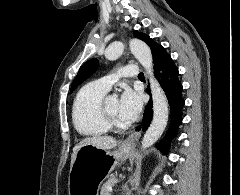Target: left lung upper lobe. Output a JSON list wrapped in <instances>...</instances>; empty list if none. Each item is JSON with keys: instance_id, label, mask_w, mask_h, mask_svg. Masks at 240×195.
Wrapping results in <instances>:
<instances>
[{"instance_id": "1", "label": "left lung upper lobe", "mask_w": 240, "mask_h": 195, "mask_svg": "<svg viewBox=\"0 0 240 195\" xmlns=\"http://www.w3.org/2000/svg\"><path fill=\"white\" fill-rule=\"evenodd\" d=\"M134 35L148 44L152 52L154 65L169 55L162 45L157 44L148 35L137 31L134 32ZM98 65L99 61L97 59H90L85 62L71 85V92L84 80L89 78L97 70Z\"/></svg>"}]
</instances>
